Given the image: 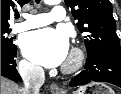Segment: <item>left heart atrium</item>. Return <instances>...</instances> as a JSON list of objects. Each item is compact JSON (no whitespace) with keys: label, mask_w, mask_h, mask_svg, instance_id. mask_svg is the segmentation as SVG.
Returning a JSON list of instances; mask_svg holds the SVG:
<instances>
[{"label":"left heart atrium","mask_w":121,"mask_h":94,"mask_svg":"<svg viewBox=\"0 0 121 94\" xmlns=\"http://www.w3.org/2000/svg\"><path fill=\"white\" fill-rule=\"evenodd\" d=\"M23 52L34 63L56 67L68 58V38L65 33L53 28L33 31L23 41Z\"/></svg>","instance_id":"obj_1"}]
</instances>
